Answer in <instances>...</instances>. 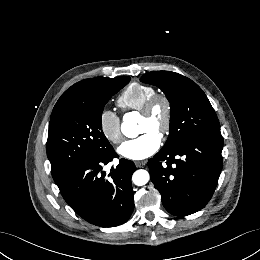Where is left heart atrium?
Segmentation results:
<instances>
[{
	"label": "left heart atrium",
	"mask_w": 260,
	"mask_h": 260,
	"mask_svg": "<svg viewBox=\"0 0 260 260\" xmlns=\"http://www.w3.org/2000/svg\"><path fill=\"white\" fill-rule=\"evenodd\" d=\"M160 146V135L155 131H147L137 138L123 142L118 152L127 159L143 160L153 155Z\"/></svg>",
	"instance_id": "obj_1"
}]
</instances>
